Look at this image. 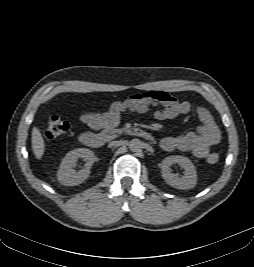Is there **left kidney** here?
Segmentation results:
<instances>
[{
    "instance_id": "obj_1",
    "label": "left kidney",
    "mask_w": 254,
    "mask_h": 267,
    "mask_svg": "<svg viewBox=\"0 0 254 267\" xmlns=\"http://www.w3.org/2000/svg\"><path fill=\"white\" fill-rule=\"evenodd\" d=\"M172 164H178L184 169V175L182 177H178L171 173L170 166ZM161 169L163 179L167 184L176 189L187 190L194 188L197 184L196 168L192 161L187 157L180 155L168 156L162 161Z\"/></svg>"
}]
</instances>
